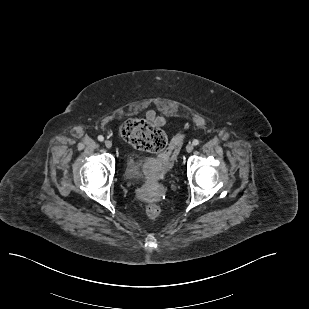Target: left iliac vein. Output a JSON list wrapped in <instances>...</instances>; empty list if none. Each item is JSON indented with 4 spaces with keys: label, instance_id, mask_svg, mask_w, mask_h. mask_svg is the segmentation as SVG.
<instances>
[{
    "label": "left iliac vein",
    "instance_id": "obj_1",
    "mask_svg": "<svg viewBox=\"0 0 309 309\" xmlns=\"http://www.w3.org/2000/svg\"><path fill=\"white\" fill-rule=\"evenodd\" d=\"M193 149H194L193 144H188V145L186 146V151H187L188 153L192 152Z\"/></svg>",
    "mask_w": 309,
    "mask_h": 309
}]
</instances>
